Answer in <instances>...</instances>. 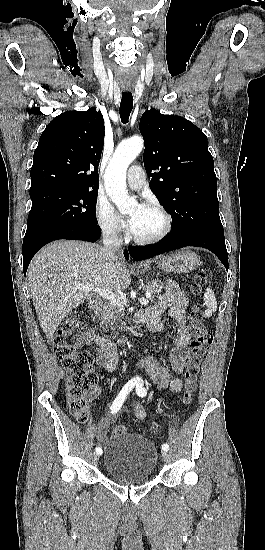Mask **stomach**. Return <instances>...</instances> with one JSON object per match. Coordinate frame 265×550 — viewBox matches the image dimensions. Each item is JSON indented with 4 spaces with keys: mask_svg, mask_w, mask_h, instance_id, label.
I'll list each match as a JSON object with an SVG mask.
<instances>
[{
    "mask_svg": "<svg viewBox=\"0 0 265 550\" xmlns=\"http://www.w3.org/2000/svg\"><path fill=\"white\" fill-rule=\"evenodd\" d=\"M200 259L196 253L182 250L160 258L157 267L164 273H187L199 265Z\"/></svg>",
    "mask_w": 265,
    "mask_h": 550,
    "instance_id": "0dacf381",
    "label": "stomach"
}]
</instances>
